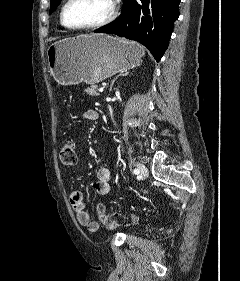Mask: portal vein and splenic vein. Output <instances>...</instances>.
<instances>
[{
    "label": "portal vein and splenic vein",
    "instance_id": "18ae733b",
    "mask_svg": "<svg viewBox=\"0 0 240 281\" xmlns=\"http://www.w3.org/2000/svg\"><path fill=\"white\" fill-rule=\"evenodd\" d=\"M99 91H100V92H103V91H104V87H100V88H99Z\"/></svg>",
    "mask_w": 240,
    "mask_h": 281
}]
</instances>
